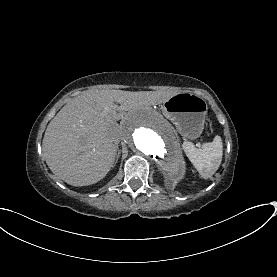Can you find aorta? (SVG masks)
I'll return each mask as SVG.
<instances>
[{"label":"aorta","instance_id":"1","mask_svg":"<svg viewBox=\"0 0 277 277\" xmlns=\"http://www.w3.org/2000/svg\"><path fill=\"white\" fill-rule=\"evenodd\" d=\"M124 141L137 155L155 164L167 177L185 172L177 135L171 125L152 110H139L128 117Z\"/></svg>","mask_w":277,"mask_h":277}]
</instances>
